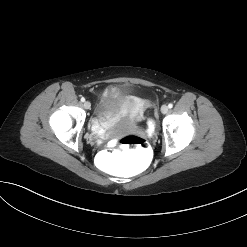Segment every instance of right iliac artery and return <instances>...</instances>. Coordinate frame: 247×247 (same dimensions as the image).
Segmentation results:
<instances>
[{
	"label": "right iliac artery",
	"mask_w": 247,
	"mask_h": 247,
	"mask_svg": "<svg viewBox=\"0 0 247 247\" xmlns=\"http://www.w3.org/2000/svg\"><path fill=\"white\" fill-rule=\"evenodd\" d=\"M81 101H82V102H84V101H85V98H84V97H82V98H81Z\"/></svg>",
	"instance_id": "obj_1"
}]
</instances>
